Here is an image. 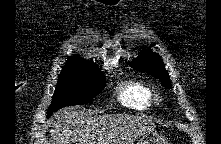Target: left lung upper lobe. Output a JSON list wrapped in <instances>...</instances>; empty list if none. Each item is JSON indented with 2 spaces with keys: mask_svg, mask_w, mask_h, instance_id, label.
<instances>
[{
  "mask_svg": "<svg viewBox=\"0 0 221 144\" xmlns=\"http://www.w3.org/2000/svg\"><path fill=\"white\" fill-rule=\"evenodd\" d=\"M130 65L135 70L144 71L159 79L165 87L172 88L170 76L165 69L163 60L158 54L144 49L135 60L130 62Z\"/></svg>",
  "mask_w": 221,
  "mask_h": 144,
  "instance_id": "left-lung-upper-lobe-1",
  "label": "left lung upper lobe"
}]
</instances>
